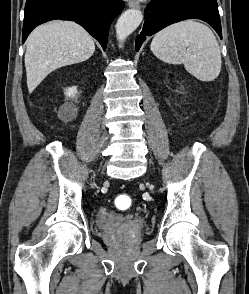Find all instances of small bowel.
<instances>
[{
  "label": "small bowel",
  "mask_w": 249,
  "mask_h": 294,
  "mask_svg": "<svg viewBox=\"0 0 249 294\" xmlns=\"http://www.w3.org/2000/svg\"><path fill=\"white\" fill-rule=\"evenodd\" d=\"M107 216H109V212L108 211H104L103 212V217H107Z\"/></svg>",
  "instance_id": "small-bowel-1"
}]
</instances>
